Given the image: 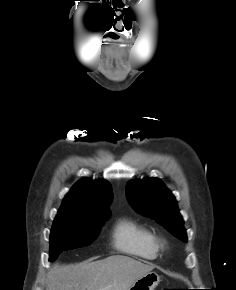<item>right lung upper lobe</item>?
I'll return each instance as SVG.
<instances>
[{
    "mask_svg": "<svg viewBox=\"0 0 236 290\" xmlns=\"http://www.w3.org/2000/svg\"><path fill=\"white\" fill-rule=\"evenodd\" d=\"M112 188L105 180L82 179L66 195L57 217L82 219L109 215Z\"/></svg>",
    "mask_w": 236,
    "mask_h": 290,
    "instance_id": "obj_1",
    "label": "right lung upper lobe"
}]
</instances>
